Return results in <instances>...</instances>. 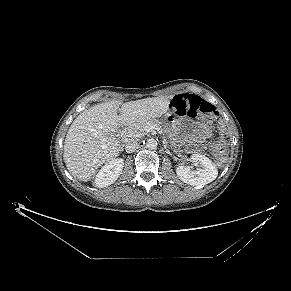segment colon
Masks as SVG:
<instances>
[{"mask_svg": "<svg viewBox=\"0 0 291 291\" xmlns=\"http://www.w3.org/2000/svg\"><path fill=\"white\" fill-rule=\"evenodd\" d=\"M172 109L180 116L207 117L214 119L218 116L217 108L199 96L176 95L171 102ZM227 144L219 139L213 144V153L218 166H223L227 160Z\"/></svg>", "mask_w": 291, "mask_h": 291, "instance_id": "5ec220e1", "label": "colon"}]
</instances>
